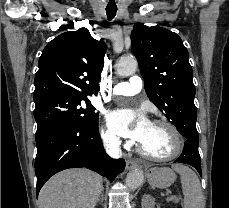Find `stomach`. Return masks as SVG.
I'll list each match as a JSON object with an SVG mask.
<instances>
[{
  "label": "stomach",
  "mask_w": 229,
  "mask_h": 208,
  "mask_svg": "<svg viewBox=\"0 0 229 208\" xmlns=\"http://www.w3.org/2000/svg\"><path fill=\"white\" fill-rule=\"evenodd\" d=\"M148 184L155 186V188H169L176 180V176L170 168H151L145 174Z\"/></svg>",
  "instance_id": "1"
}]
</instances>
